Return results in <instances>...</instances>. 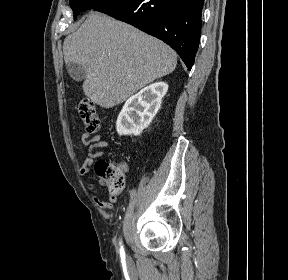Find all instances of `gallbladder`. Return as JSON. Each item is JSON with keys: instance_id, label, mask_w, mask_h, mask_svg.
Instances as JSON below:
<instances>
[{"instance_id": "bac80fb5", "label": "gallbladder", "mask_w": 288, "mask_h": 280, "mask_svg": "<svg viewBox=\"0 0 288 280\" xmlns=\"http://www.w3.org/2000/svg\"><path fill=\"white\" fill-rule=\"evenodd\" d=\"M67 71L69 75L76 81H81L85 75V70L83 66L75 63H68Z\"/></svg>"}]
</instances>
